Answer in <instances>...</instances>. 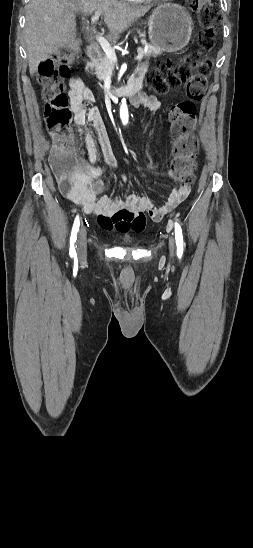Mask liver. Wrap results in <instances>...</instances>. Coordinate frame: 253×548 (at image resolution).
I'll list each match as a JSON object with an SVG mask.
<instances>
[{"label": "liver", "mask_w": 253, "mask_h": 548, "mask_svg": "<svg viewBox=\"0 0 253 548\" xmlns=\"http://www.w3.org/2000/svg\"><path fill=\"white\" fill-rule=\"evenodd\" d=\"M149 7H131L118 0H30L24 28L30 75L50 54L72 43L76 32V12L91 14L99 11L116 40Z\"/></svg>", "instance_id": "1"}]
</instances>
